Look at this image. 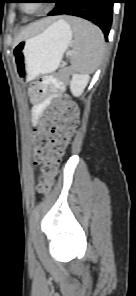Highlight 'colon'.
Here are the masks:
<instances>
[{
    "label": "colon",
    "instance_id": "1",
    "mask_svg": "<svg viewBox=\"0 0 136 296\" xmlns=\"http://www.w3.org/2000/svg\"><path fill=\"white\" fill-rule=\"evenodd\" d=\"M52 79V77H44ZM43 79V78H42ZM78 124V110L71 98L64 94L45 109L41 123L33 134V161L42 164L38 192L48 195L54 184L59 164L70 144Z\"/></svg>",
    "mask_w": 136,
    "mask_h": 296
}]
</instances>
